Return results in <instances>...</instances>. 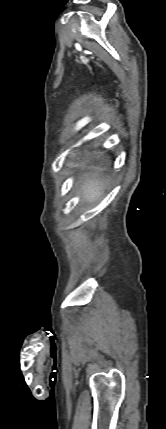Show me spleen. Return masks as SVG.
I'll return each mask as SVG.
<instances>
[{"label":"spleen","mask_w":166,"mask_h":429,"mask_svg":"<svg viewBox=\"0 0 166 429\" xmlns=\"http://www.w3.org/2000/svg\"><path fill=\"white\" fill-rule=\"evenodd\" d=\"M104 182L97 179H89L82 186L83 200L87 202L98 201L102 195Z\"/></svg>","instance_id":"1"}]
</instances>
